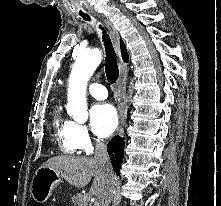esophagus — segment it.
<instances>
[{
  "instance_id": "1",
  "label": "esophagus",
  "mask_w": 221,
  "mask_h": 206,
  "mask_svg": "<svg viewBox=\"0 0 221 206\" xmlns=\"http://www.w3.org/2000/svg\"><path fill=\"white\" fill-rule=\"evenodd\" d=\"M99 18L103 22V24L106 26V28L108 29L110 36L112 38V41H113L115 51L120 59V63H119L120 76H119V80L117 83V91H118L120 105L122 108L121 125L119 128V134L121 135L123 133L124 124L126 121V112L124 109V104H125V93H126L127 69H126L125 64L121 60L118 31L116 30V28L114 27V25L112 24V22L108 18H106L104 16H99Z\"/></svg>"
}]
</instances>
